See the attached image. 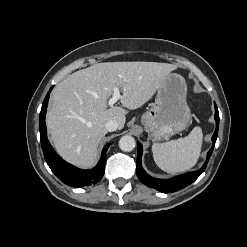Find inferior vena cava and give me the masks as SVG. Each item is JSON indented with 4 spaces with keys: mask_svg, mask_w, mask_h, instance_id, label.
Returning a JSON list of instances; mask_svg holds the SVG:
<instances>
[{
    "mask_svg": "<svg viewBox=\"0 0 247 247\" xmlns=\"http://www.w3.org/2000/svg\"><path fill=\"white\" fill-rule=\"evenodd\" d=\"M107 131L112 132L119 128V124L116 120H110L105 124Z\"/></svg>",
    "mask_w": 247,
    "mask_h": 247,
    "instance_id": "obj_1",
    "label": "inferior vena cava"
}]
</instances>
